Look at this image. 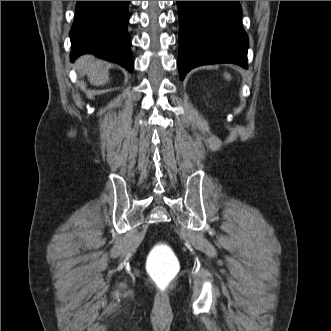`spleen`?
Listing matches in <instances>:
<instances>
[{
    "label": "spleen",
    "mask_w": 331,
    "mask_h": 331,
    "mask_svg": "<svg viewBox=\"0 0 331 331\" xmlns=\"http://www.w3.org/2000/svg\"><path fill=\"white\" fill-rule=\"evenodd\" d=\"M225 77H226L227 79H230V75H229V74H226Z\"/></svg>",
    "instance_id": "spleen-1"
}]
</instances>
